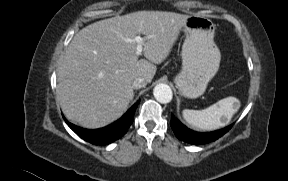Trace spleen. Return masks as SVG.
Here are the masks:
<instances>
[{
	"mask_svg": "<svg viewBox=\"0 0 288 181\" xmlns=\"http://www.w3.org/2000/svg\"><path fill=\"white\" fill-rule=\"evenodd\" d=\"M240 101L227 97L203 110H183V118L192 127L211 131L226 126L239 110Z\"/></svg>",
	"mask_w": 288,
	"mask_h": 181,
	"instance_id": "3e777b00",
	"label": "spleen"
}]
</instances>
